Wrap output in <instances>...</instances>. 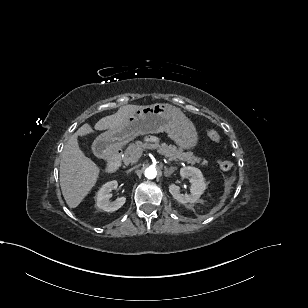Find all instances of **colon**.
<instances>
[{"label":"colon","mask_w":308,"mask_h":308,"mask_svg":"<svg viewBox=\"0 0 308 308\" xmlns=\"http://www.w3.org/2000/svg\"><path fill=\"white\" fill-rule=\"evenodd\" d=\"M207 135L213 142H219L220 141L219 133L217 131L213 130V129H208ZM218 165H219L220 169L223 170V171L230 170L233 167L232 161L227 160V159L219 160Z\"/></svg>","instance_id":"obj_1"}]
</instances>
